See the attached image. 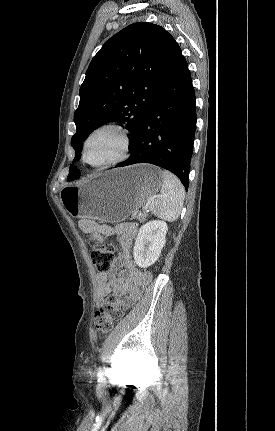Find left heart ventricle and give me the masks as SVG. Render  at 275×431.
Listing matches in <instances>:
<instances>
[{"instance_id":"left-heart-ventricle-1","label":"left heart ventricle","mask_w":275,"mask_h":431,"mask_svg":"<svg viewBox=\"0 0 275 431\" xmlns=\"http://www.w3.org/2000/svg\"><path fill=\"white\" fill-rule=\"evenodd\" d=\"M121 148V140L113 131H103L92 138L87 148V159L97 164L116 157Z\"/></svg>"}]
</instances>
